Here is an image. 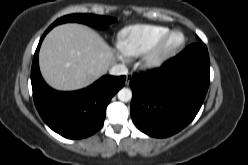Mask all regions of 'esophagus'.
<instances>
[{
	"instance_id": "34e87169",
	"label": "esophagus",
	"mask_w": 248,
	"mask_h": 165,
	"mask_svg": "<svg viewBox=\"0 0 248 165\" xmlns=\"http://www.w3.org/2000/svg\"><path fill=\"white\" fill-rule=\"evenodd\" d=\"M131 78H132V73H128L126 75V81H125V84L126 85H129V82H130Z\"/></svg>"
}]
</instances>
